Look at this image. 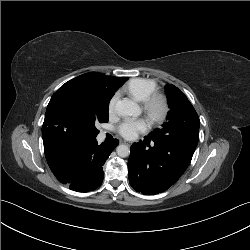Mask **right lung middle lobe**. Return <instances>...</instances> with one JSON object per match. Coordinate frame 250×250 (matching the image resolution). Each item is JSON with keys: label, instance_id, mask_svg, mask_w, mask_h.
<instances>
[{"label": "right lung middle lobe", "instance_id": "obj_1", "mask_svg": "<svg viewBox=\"0 0 250 250\" xmlns=\"http://www.w3.org/2000/svg\"><path fill=\"white\" fill-rule=\"evenodd\" d=\"M115 88L92 74L80 75L52 96L45 114L47 132L60 141L95 138L97 123L108 122V106Z\"/></svg>", "mask_w": 250, "mask_h": 250}]
</instances>
